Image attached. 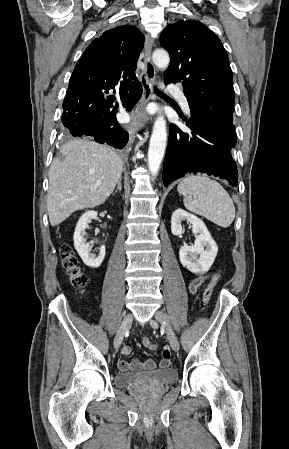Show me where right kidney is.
I'll list each match as a JSON object with an SVG mask.
<instances>
[{
	"label": "right kidney",
	"mask_w": 289,
	"mask_h": 449,
	"mask_svg": "<svg viewBox=\"0 0 289 449\" xmlns=\"http://www.w3.org/2000/svg\"><path fill=\"white\" fill-rule=\"evenodd\" d=\"M96 218V211L85 212L78 220L73 236L75 249L77 250L84 264L91 268H98L105 258L104 245L99 248V254L98 256H96L95 254L91 253L89 243H86V239L84 238L86 234L85 230L89 228L88 224L91 222V220Z\"/></svg>",
	"instance_id": "right-kidney-1"
}]
</instances>
